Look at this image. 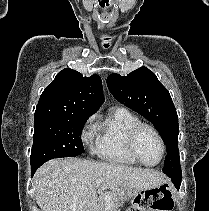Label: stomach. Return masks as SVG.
<instances>
[{"label":"stomach","instance_id":"stomach-1","mask_svg":"<svg viewBox=\"0 0 209 211\" xmlns=\"http://www.w3.org/2000/svg\"><path fill=\"white\" fill-rule=\"evenodd\" d=\"M142 193V191L140 190H136V189H125L123 191V194L122 197L125 199V200H135L138 196H140Z\"/></svg>","mask_w":209,"mask_h":211}]
</instances>
